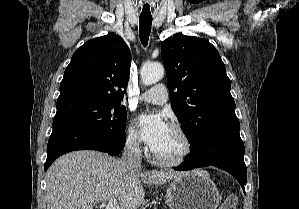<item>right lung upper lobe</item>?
Segmentation results:
<instances>
[{"instance_id":"obj_1","label":"right lung upper lobe","mask_w":299,"mask_h":209,"mask_svg":"<svg viewBox=\"0 0 299 209\" xmlns=\"http://www.w3.org/2000/svg\"><path fill=\"white\" fill-rule=\"evenodd\" d=\"M131 53L114 34L84 43L74 52L60 83L57 104L74 101L119 103L125 93Z\"/></svg>"}]
</instances>
